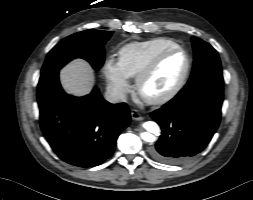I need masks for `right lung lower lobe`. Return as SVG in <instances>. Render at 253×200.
Here are the masks:
<instances>
[{"label":"right lung lower lobe","instance_id":"98d812e1","mask_svg":"<svg viewBox=\"0 0 253 200\" xmlns=\"http://www.w3.org/2000/svg\"><path fill=\"white\" fill-rule=\"evenodd\" d=\"M59 71L41 75L37 89L40 126L55 153L79 167L103 163L116 140L130 124L125 104H111L99 90L84 97L67 95L59 83Z\"/></svg>","mask_w":253,"mask_h":200}]
</instances>
